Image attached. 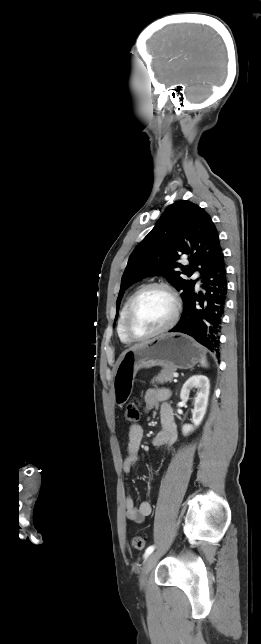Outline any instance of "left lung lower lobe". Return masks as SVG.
I'll return each mask as SVG.
<instances>
[{"label": "left lung lower lobe", "mask_w": 261, "mask_h": 644, "mask_svg": "<svg viewBox=\"0 0 261 644\" xmlns=\"http://www.w3.org/2000/svg\"><path fill=\"white\" fill-rule=\"evenodd\" d=\"M224 255L221 252L202 276L205 293L193 294L184 307L179 323L170 331L192 336L196 341L219 355V332L227 295ZM217 355V356H218Z\"/></svg>", "instance_id": "left-lung-lower-lobe-1"}]
</instances>
